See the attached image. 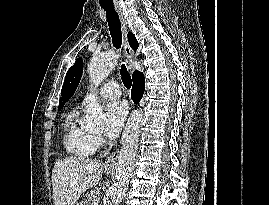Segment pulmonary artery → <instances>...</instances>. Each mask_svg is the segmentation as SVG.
<instances>
[{
	"instance_id": "e3ab8cb5",
	"label": "pulmonary artery",
	"mask_w": 269,
	"mask_h": 205,
	"mask_svg": "<svg viewBox=\"0 0 269 205\" xmlns=\"http://www.w3.org/2000/svg\"><path fill=\"white\" fill-rule=\"evenodd\" d=\"M98 94L106 99H117L121 92L116 81H110L100 88Z\"/></svg>"
}]
</instances>
